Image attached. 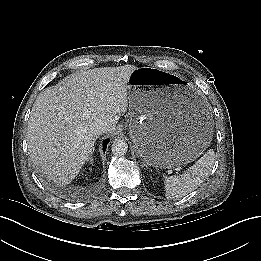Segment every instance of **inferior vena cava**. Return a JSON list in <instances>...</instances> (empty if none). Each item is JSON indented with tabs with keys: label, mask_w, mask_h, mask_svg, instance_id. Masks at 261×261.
Segmentation results:
<instances>
[{
	"label": "inferior vena cava",
	"mask_w": 261,
	"mask_h": 261,
	"mask_svg": "<svg viewBox=\"0 0 261 261\" xmlns=\"http://www.w3.org/2000/svg\"><path fill=\"white\" fill-rule=\"evenodd\" d=\"M91 129L96 135H101L108 130V127H107L106 122H104L102 120H97L93 123V125L91 126Z\"/></svg>",
	"instance_id": "obj_1"
}]
</instances>
